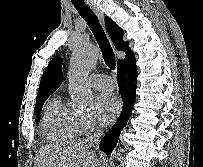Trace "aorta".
<instances>
[{
  "label": "aorta",
  "mask_w": 203,
  "mask_h": 167,
  "mask_svg": "<svg viewBox=\"0 0 203 167\" xmlns=\"http://www.w3.org/2000/svg\"><path fill=\"white\" fill-rule=\"evenodd\" d=\"M99 59L97 48L89 42L82 41L74 50L70 61L69 93L73 102L87 106L92 102V91L86 77Z\"/></svg>",
  "instance_id": "aorta-1"
}]
</instances>
